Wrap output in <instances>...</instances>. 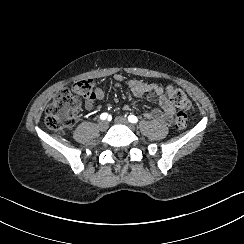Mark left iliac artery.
<instances>
[{"mask_svg":"<svg viewBox=\"0 0 244 244\" xmlns=\"http://www.w3.org/2000/svg\"><path fill=\"white\" fill-rule=\"evenodd\" d=\"M128 120H129V122H131V123H137L138 118H137L136 116H134V115H129V116H128Z\"/></svg>","mask_w":244,"mask_h":244,"instance_id":"obj_1","label":"left iliac artery"}]
</instances>
